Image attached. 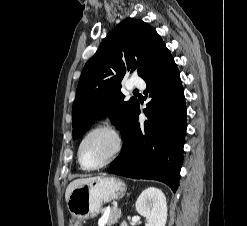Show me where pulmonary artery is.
<instances>
[{
    "mask_svg": "<svg viewBox=\"0 0 247 226\" xmlns=\"http://www.w3.org/2000/svg\"><path fill=\"white\" fill-rule=\"evenodd\" d=\"M145 87V83L140 78H132L129 83L130 89H143Z\"/></svg>",
    "mask_w": 247,
    "mask_h": 226,
    "instance_id": "pulmonary-artery-1",
    "label": "pulmonary artery"
}]
</instances>
